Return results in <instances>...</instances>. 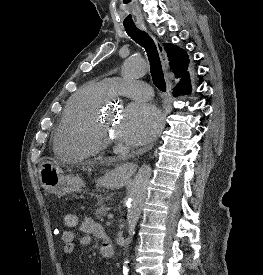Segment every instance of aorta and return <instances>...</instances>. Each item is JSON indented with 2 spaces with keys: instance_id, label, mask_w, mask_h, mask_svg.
Segmentation results:
<instances>
[{
  "instance_id": "1",
  "label": "aorta",
  "mask_w": 263,
  "mask_h": 275,
  "mask_svg": "<svg viewBox=\"0 0 263 275\" xmlns=\"http://www.w3.org/2000/svg\"><path fill=\"white\" fill-rule=\"evenodd\" d=\"M147 72L146 63L138 57H129L125 60L122 66V75L125 78H138L143 76ZM152 169L150 165H142L131 186V191L128 199V211H127V222H128V237L126 239V257L123 262V272L128 273V257L129 247L132 243L133 235L135 233V227L140 218L142 208L147 196V190L151 178Z\"/></svg>"
}]
</instances>
